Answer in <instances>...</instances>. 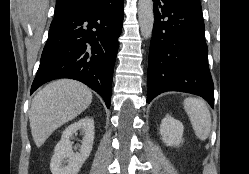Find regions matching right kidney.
I'll use <instances>...</instances> for the list:
<instances>
[{"mask_svg":"<svg viewBox=\"0 0 249 174\" xmlns=\"http://www.w3.org/2000/svg\"><path fill=\"white\" fill-rule=\"evenodd\" d=\"M78 131L83 135V139L79 152L75 153L71 138ZM94 133V120L90 117L80 119L68 126L55 146L50 162L52 174H77L92 151Z\"/></svg>","mask_w":249,"mask_h":174,"instance_id":"ca27d5eb","label":"right kidney"}]
</instances>
